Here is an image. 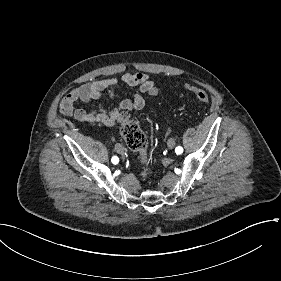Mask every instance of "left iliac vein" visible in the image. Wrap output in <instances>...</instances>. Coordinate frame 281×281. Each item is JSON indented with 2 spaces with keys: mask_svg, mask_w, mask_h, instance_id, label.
I'll return each instance as SVG.
<instances>
[{
  "mask_svg": "<svg viewBox=\"0 0 281 281\" xmlns=\"http://www.w3.org/2000/svg\"><path fill=\"white\" fill-rule=\"evenodd\" d=\"M167 145H168V147H169L170 149L174 148V146H175V141H174V139H172V138L168 139Z\"/></svg>",
  "mask_w": 281,
  "mask_h": 281,
  "instance_id": "left-iliac-vein-1",
  "label": "left iliac vein"
}]
</instances>
